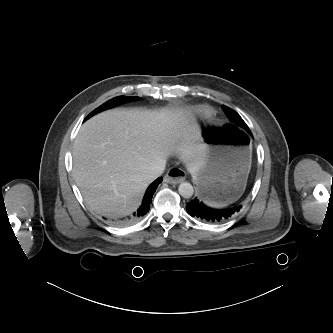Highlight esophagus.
I'll list each match as a JSON object with an SVG mask.
<instances>
[{
    "label": "esophagus",
    "mask_w": 333,
    "mask_h": 333,
    "mask_svg": "<svg viewBox=\"0 0 333 333\" xmlns=\"http://www.w3.org/2000/svg\"><path fill=\"white\" fill-rule=\"evenodd\" d=\"M185 171L178 168L170 169L164 177V181L170 184H177L185 179Z\"/></svg>",
    "instance_id": "34e87169"
}]
</instances>
